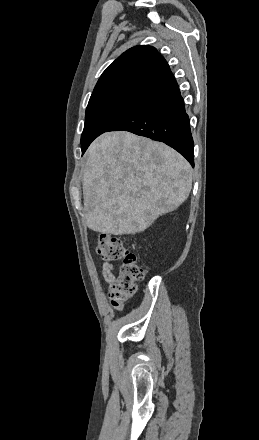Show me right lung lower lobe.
I'll use <instances>...</instances> for the list:
<instances>
[{
    "label": "right lung lower lobe",
    "instance_id": "98d812e1",
    "mask_svg": "<svg viewBox=\"0 0 259 440\" xmlns=\"http://www.w3.org/2000/svg\"><path fill=\"white\" fill-rule=\"evenodd\" d=\"M119 130L164 142L177 150L194 167V143L189 117L172 72L149 89L134 108L107 131Z\"/></svg>",
    "mask_w": 259,
    "mask_h": 440
}]
</instances>
